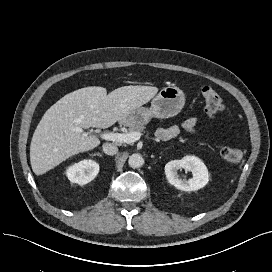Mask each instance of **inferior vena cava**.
Segmentation results:
<instances>
[{
	"label": "inferior vena cava",
	"instance_id": "inferior-vena-cava-1",
	"mask_svg": "<svg viewBox=\"0 0 272 272\" xmlns=\"http://www.w3.org/2000/svg\"><path fill=\"white\" fill-rule=\"evenodd\" d=\"M102 148L103 152L107 155H115L118 152V147L111 143H104Z\"/></svg>",
	"mask_w": 272,
	"mask_h": 272
}]
</instances>
